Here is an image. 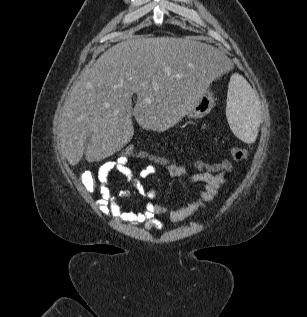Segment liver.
<instances>
[{"label": "liver", "instance_id": "1", "mask_svg": "<svg viewBox=\"0 0 307 317\" xmlns=\"http://www.w3.org/2000/svg\"><path fill=\"white\" fill-rule=\"evenodd\" d=\"M227 65L223 51L191 36L122 38L73 85L60 116L63 156L72 166L83 154L111 156L132 138V116L143 129L168 130Z\"/></svg>", "mask_w": 307, "mask_h": 317}]
</instances>
